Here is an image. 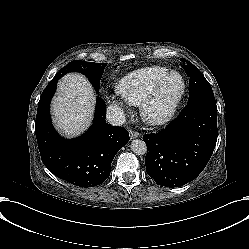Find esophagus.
Returning <instances> with one entry per match:
<instances>
[{
  "label": "esophagus",
  "instance_id": "obj_1",
  "mask_svg": "<svg viewBox=\"0 0 249 249\" xmlns=\"http://www.w3.org/2000/svg\"><path fill=\"white\" fill-rule=\"evenodd\" d=\"M129 135H130V139H135V138H138L140 136V134L134 130H129Z\"/></svg>",
  "mask_w": 249,
  "mask_h": 249
}]
</instances>
